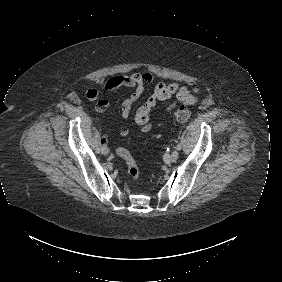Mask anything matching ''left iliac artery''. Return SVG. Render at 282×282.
Returning <instances> with one entry per match:
<instances>
[{"label": "left iliac artery", "mask_w": 282, "mask_h": 282, "mask_svg": "<svg viewBox=\"0 0 282 282\" xmlns=\"http://www.w3.org/2000/svg\"><path fill=\"white\" fill-rule=\"evenodd\" d=\"M180 149H181V145L178 144V145L176 146V150H180Z\"/></svg>", "instance_id": "1"}]
</instances>
